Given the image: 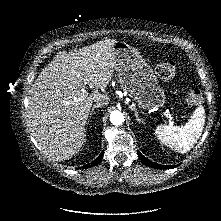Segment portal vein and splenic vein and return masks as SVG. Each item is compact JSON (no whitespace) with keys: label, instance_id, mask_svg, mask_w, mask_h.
<instances>
[{"label":"portal vein and splenic vein","instance_id":"obj_1","mask_svg":"<svg viewBox=\"0 0 221 221\" xmlns=\"http://www.w3.org/2000/svg\"><path fill=\"white\" fill-rule=\"evenodd\" d=\"M81 92H82V95H83V96H85L86 94H88V92L86 91L85 88H82V89H81ZM75 101H77L76 98H75ZM165 115L169 118V122H170L171 124H173V123H174V117H173L170 113H166Z\"/></svg>","mask_w":221,"mask_h":221}]
</instances>
